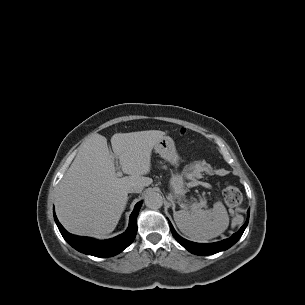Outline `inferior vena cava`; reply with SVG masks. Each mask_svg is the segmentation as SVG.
<instances>
[{
	"mask_svg": "<svg viewBox=\"0 0 305 305\" xmlns=\"http://www.w3.org/2000/svg\"><path fill=\"white\" fill-rule=\"evenodd\" d=\"M142 190H143V187L140 185H137V186L130 187L128 192L129 193H140Z\"/></svg>",
	"mask_w": 305,
	"mask_h": 305,
	"instance_id": "inferior-vena-cava-1",
	"label": "inferior vena cava"
}]
</instances>
